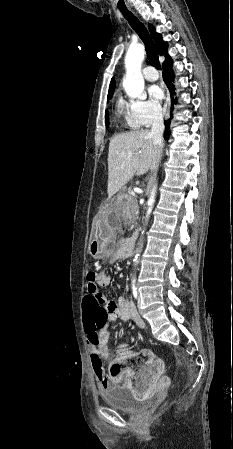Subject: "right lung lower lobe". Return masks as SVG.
I'll return each instance as SVG.
<instances>
[{
    "mask_svg": "<svg viewBox=\"0 0 233 449\" xmlns=\"http://www.w3.org/2000/svg\"><path fill=\"white\" fill-rule=\"evenodd\" d=\"M164 69V80L171 94V101H173L172 95L174 94V86L172 85V81L174 80V73L172 71V62L163 65ZM171 110H173V104H171ZM172 117V114H171ZM166 130L164 136L166 138L167 135L170 134V120L165 121Z\"/></svg>",
    "mask_w": 233,
    "mask_h": 449,
    "instance_id": "right-lung-lower-lobe-1",
    "label": "right lung lower lobe"
}]
</instances>
